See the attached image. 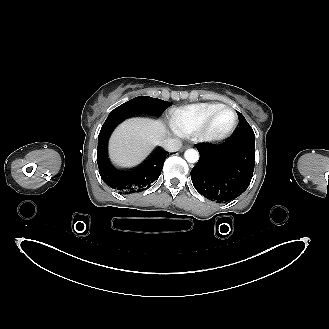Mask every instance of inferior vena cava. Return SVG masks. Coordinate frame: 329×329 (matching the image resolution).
Here are the masks:
<instances>
[{"mask_svg":"<svg viewBox=\"0 0 329 329\" xmlns=\"http://www.w3.org/2000/svg\"><path fill=\"white\" fill-rule=\"evenodd\" d=\"M162 146L168 152H175L181 148L182 142L179 139L168 138L163 141Z\"/></svg>","mask_w":329,"mask_h":329,"instance_id":"602c4592","label":"inferior vena cava"}]
</instances>
